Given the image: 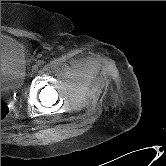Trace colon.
<instances>
[{
    "label": "colon",
    "instance_id": "obj_1",
    "mask_svg": "<svg viewBox=\"0 0 166 166\" xmlns=\"http://www.w3.org/2000/svg\"><path fill=\"white\" fill-rule=\"evenodd\" d=\"M9 113L8 105L1 100V120H3Z\"/></svg>",
    "mask_w": 166,
    "mask_h": 166
}]
</instances>
